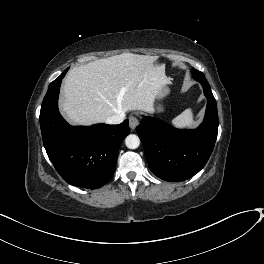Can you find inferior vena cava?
<instances>
[{
  "label": "inferior vena cava",
  "mask_w": 264,
  "mask_h": 264,
  "mask_svg": "<svg viewBox=\"0 0 264 264\" xmlns=\"http://www.w3.org/2000/svg\"><path fill=\"white\" fill-rule=\"evenodd\" d=\"M125 113L121 112L106 119L107 124H120L123 122Z\"/></svg>",
  "instance_id": "602c4592"
}]
</instances>
